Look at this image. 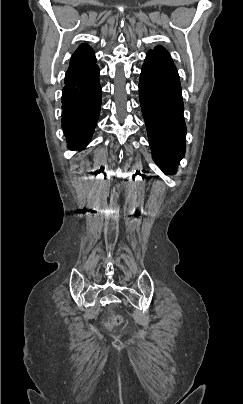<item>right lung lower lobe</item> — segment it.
I'll use <instances>...</instances> for the list:
<instances>
[{"instance_id":"right-lung-lower-lobe-1","label":"right lung lower lobe","mask_w":243,"mask_h":404,"mask_svg":"<svg viewBox=\"0 0 243 404\" xmlns=\"http://www.w3.org/2000/svg\"><path fill=\"white\" fill-rule=\"evenodd\" d=\"M62 92V128L71 150L83 149L91 140L101 106L99 67L65 78Z\"/></svg>"}]
</instances>
